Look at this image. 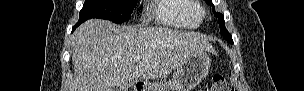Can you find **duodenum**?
<instances>
[{"label":"duodenum","mask_w":304,"mask_h":91,"mask_svg":"<svg viewBox=\"0 0 304 91\" xmlns=\"http://www.w3.org/2000/svg\"><path fill=\"white\" fill-rule=\"evenodd\" d=\"M145 90V85L141 82L135 84V91H143Z\"/></svg>","instance_id":"1"}]
</instances>
